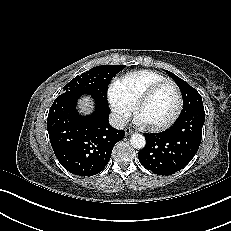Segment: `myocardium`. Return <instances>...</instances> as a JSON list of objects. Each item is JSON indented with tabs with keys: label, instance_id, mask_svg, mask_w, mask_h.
Returning <instances> with one entry per match:
<instances>
[{
	"label": "myocardium",
	"instance_id": "obj_1",
	"mask_svg": "<svg viewBox=\"0 0 231 231\" xmlns=\"http://www.w3.org/2000/svg\"><path fill=\"white\" fill-rule=\"evenodd\" d=\"M163 85H171L176 93V105L174 108V111L172 113V115L170 116V118L168 120H166L165 122L161 123V124H152V123H147V127L151 130L154 131H159V130H164L166 128H168L169 126H171L179 117L182 107H183V97H182V93L181 90L179 88V86L171 79H163L155 84H153L150 88H148L146 90V92L140 97V99L138 100V102L136 103L135 109H134V115L136 117L140 116L141 110L144 107V105L146 104V102L149 100V98L151 97V95L161 86Z\"/></svg>",
	"mask_w": 231,
	"mask_h": 231
}]
</instances>
